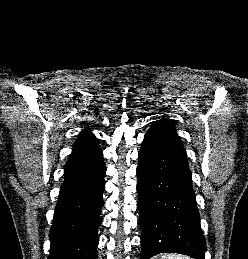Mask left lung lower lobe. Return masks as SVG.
Masks as SVG:
<instances>
[{
	"mask_svg": "<svg viewBox=\"0 0 248 259\" xmlns=\"http://www.w3.org/2000/svg\"><path fill=\"white\" fill-rule=\"evenodd\" d=\"M137 167L140 259L159 253H181L205 259V240L187 160L143 141Z\"/></svg>",
	"mask_w": 248,
	"mask_h": 259,
	"instance_id": "obj_1",
	"label": "left lung lower lobe"
}]
</instances>
